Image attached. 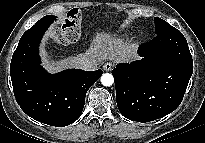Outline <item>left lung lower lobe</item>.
I'll list each match as a JSON object with an SVG mask.
<instances>
[{"label": "left lung lower lobe", "instance_id": "obj_1", "mask_svg": "<svg viewBox=\"0 0 205 143\" xmlns=\"http://www.w3.org/2000/svg\"><path fill=\"white\" fill-rule=\"evenodd\" d=\"M138 53L142 60L118 64L112 74L121 114L146 123L180 105L193 73V61L179 30L158 34L139 46Z\"/></svg>", "mask_w": 205, "mask_h": 143}]
</instances>
